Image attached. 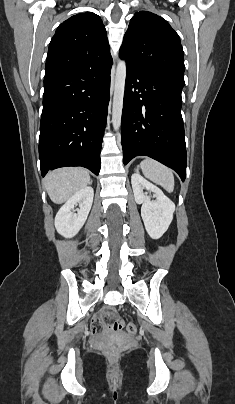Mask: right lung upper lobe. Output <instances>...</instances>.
I'll return each instance as SVG.
<instances>
[{"label": "right lung upper lobe", "instance_id": "cb5924a9", "mask_svg": "<svg viewBox=\"0 0 235 404\" xmlns=\"http://www.w3.org/2000/svg\"><path fill=\"white\" fill-rule=\"evenodd\" d=\"M107 32L101 18L80 13L57 28L48 50L45 78L111 63Z\"/></svg>", "mask_w": 235, "mask_h": 404}]
</instances>
